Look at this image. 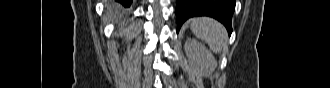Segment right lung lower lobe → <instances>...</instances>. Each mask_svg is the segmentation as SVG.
I'll return each instance as SVG.
<instances>
[{"label":"right lung lower lobe","instance_id":"98d812e1","mask_svg":"<svg viewBox=\"0 0 330 88\" xmlns=\"http://www.w3.org/2000/svg\"><path fill=\"white\" fill-rule=\"evenodd\" d=\"M117 2H120L125 7H129L132 4V0H116Z\"/></svg>","mask_w":330,"mask_h":88}]
</instances>
